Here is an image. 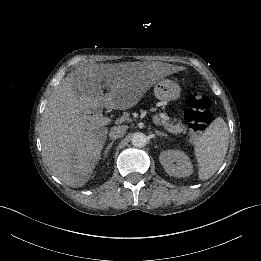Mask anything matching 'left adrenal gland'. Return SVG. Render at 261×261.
<instances>
[{
    "mask_svg": "<svg viewBox=\"0 0 261 261\" xmlns=\"http://www.w3.org/2000/svg\"><path fill=\"white\" fill-rule=\"evenodd\" d=\"M156 135H157L158 137L161 136V137L167 138V134L162 133V132H160L159 130H156Z\"/></svg>",
    "mask_w": 261,
    "mask_h": 261,
    "instance_id": "1",
    "label": "left adrenal gland"
}]
</instances>
